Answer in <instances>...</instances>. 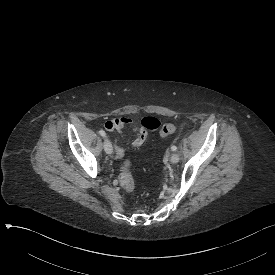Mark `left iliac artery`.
<instances>
[{
  "instance_id": "1",
  "label": "left iliac artery",
  "mask_w": 275,
  "mask_h": 275,
  "mask_svg": "<svg viewBox=\"0 0 275 275\" xmlns=\"http://www.w3.org/2000/svg\"><path fill=\"white\" fill-rule=\"evenodd\" d=\"M171 150H172V151H176V150H177V147H176V146H172V147H171Z\"/></svg>"
}]
</instances>
